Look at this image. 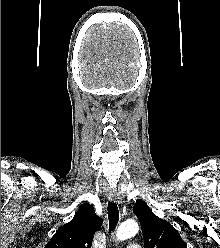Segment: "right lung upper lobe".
<instances>
[{"label": "right lung upper lobe", "mask_w": 220, "mask_h": 248, "mask_svg": "<svg viewBox=\"0 0 220 248\" xmlns=\"http://www.w3.org/2000/svg\"><path fill=\"white\" fill-rule=\"evenodd\" d=\"M102 223L93 206L85 203L69 223L56 231L44 248H91L95 231Z\"/></svg>", "instance_id": "obj_1"}]
</instances>
